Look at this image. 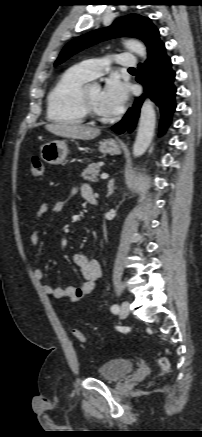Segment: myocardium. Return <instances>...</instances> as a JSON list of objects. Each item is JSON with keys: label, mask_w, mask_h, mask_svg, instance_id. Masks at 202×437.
Wrapping results in <instances>:
<instances>
[{"label": "myocardium", "mask_w": 202, "mask_h": 437, "mask_svg": "<svg viewBox=\"0 0 202 437\" xmlns=\"http://www.w3.org/2000/svg\"><path fill=\"white\" fill-rule=\"evenodd\" d=\"M79 101H80V106H81L82 112L84 113L86 118L93 120V121H100V122H104V121L108 120V118L106 116L98 113L94 109V107L91 105L85 88H83L80 92Z\"/></svg>", "instance_id": "obj_1"}]
</instances>
